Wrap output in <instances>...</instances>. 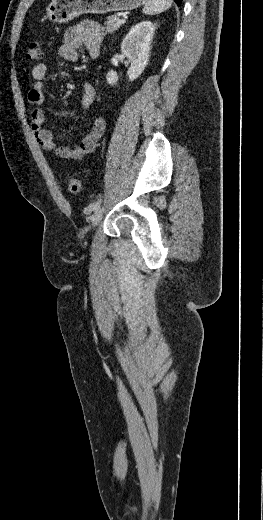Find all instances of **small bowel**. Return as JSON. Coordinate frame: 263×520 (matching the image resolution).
<instances>
[{
    "label": "small bowel",
    "instance_id": "1",
    "mask_svg": "<svg viewBox=\"0 0 263 520\" xmlns=\"http://www.w3.org/2000/svg\"><path fill=\"white\" fill-rule=\"evenodd\" d=\"M102 39L103 30L98 23L93 21L81 22L78 25L69 27L65 31L62 43L58 48V55L67 61L73 62L78 59V50L83 47L91 57H97L100 52ZM32 77L34 85L29 91L28 99L36 107L31 112V127L42 149L67 160H80L85 155L92 153L105 131L103 118H95L80 143L73 146L58 145L54 141L51 130L44 126L45 113L39 107L45 102L47 66L43 63L35 65L32 69ZM83 87L84 92L81 104L84 108H88L94 100L95 90L86 81L83 83Z\"/></svg>",
    "mask_w": 263,
    "mask_h": 520
}]
</instances>
